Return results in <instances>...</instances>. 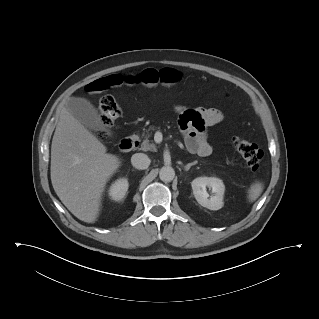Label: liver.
Wrapping results in <instances>:
<instances>
[{"mask_svg": "<svg viewBox=\"0 0 319 319\" xmlns=\"http://www.w3.org/2000/svg\"><path fill=\"white\" fill-rule=\"evenodd\" d=\"M120 159L64 107L51 145L52 186L67 209L87 223L97 220L106 183Z\"/></svg>", "mask_w": 319, "mask_h": 319, "instance_id": "1", "label": "liver"}]
</instances>
